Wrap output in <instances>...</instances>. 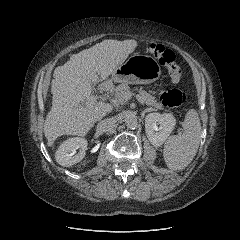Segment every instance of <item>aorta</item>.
<instances>
[{
  "label": "aorta",
  "mask_w": 240,
  "mask_h": 240,
  "mask_svg": "<svg viewBox=\"0 0 240 240\" xmlns=\"http://www.w3.org/2000/svg\"><path fill=\"white\" fill-rule=\"evenodd\" d=\"M124 122L127 128L134 129L138 125V119L134 114L128 113L124 117Z\"/></svg>",
  "instance_id": "762f6f07"
}]
</instances>
